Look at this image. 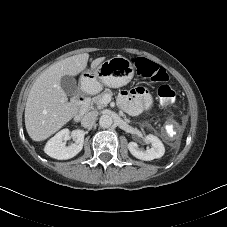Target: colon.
<instances>
[{
  "label": "colon",
  "instance_id": "5ec220e1",
  "mask_svg": "<svg viewBox=\"0 0 227 227\" xmlns=\"http://www.w3.org/2000/svg\"><path fill=\"white\" fill-rule=\"evenodd\" d=\"M136 70L137 74L153 82L162 83L157 90V95L164 106H172L175 103L176 93L173 88L166 83L168 75L164 68L143 58H138L136 60Z\"/></svg>",
  "mask_w": 227,
  "mask_h": 227
}]
</instances>
